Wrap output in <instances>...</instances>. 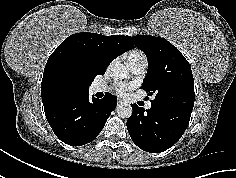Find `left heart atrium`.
I'll return each mask as SVG.
<instances>
[{
    "label": "left heart atrium",
    "mask_w": 236,
    "mask_h": 178,
    "mask_svg": "<svg viewBox=\"0 0 236 178\" xmlns=\"http://www.w3.org/2000/svg\"><path fill=\"white\" fill-rule=\"evenodd\" d=\"M132 88L133 86L131 84L125 83H116L114 85V91L122 97L126 96Z\"/></svg>",
    "instance_id": "left-heart-atrium-1"
}]
</instances>
